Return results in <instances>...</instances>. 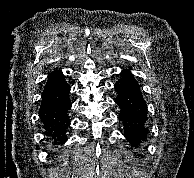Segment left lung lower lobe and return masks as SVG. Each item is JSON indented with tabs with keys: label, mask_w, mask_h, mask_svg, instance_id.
Returning <instances> with one entry per match:
<instances>
[{
	"label": "left lung lower lobe",
	"mask_w": 194,
	"mask_h": 178,
	"mask_svg": "<svg viewBox=\"0 0 194 178\" xmlns=\"http://www.w3.org/2000/svg\"><path fill=\"white\" fill-rule=\"evenodd\" d=\"M116 103L120 107L119 119L124 124V136L131 146L137 147L147 137V105L139 84L131 71L123 69L115 83Z\"/></svg>",
	"instance_id": "1"
}]
</instances>
